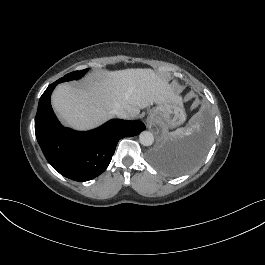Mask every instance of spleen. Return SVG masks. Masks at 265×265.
<instances>
[{
    "label": "spleen",
    "mask_w": 265,
    "mask_h": 265,
    "mask_svg": "<svg viewBox=\"0 0 265 265\" xmlns=\"http://www.w3.org/2000/svg\"><path fill=\"white\" fill-rule=\"evenodd\" d=\"M191 133V129L187 127L178 128L177 130L170 132L169 135L173 138H183Z\"/></svg>",
    "instance_id": "3e777b00"
}]
</instances>
